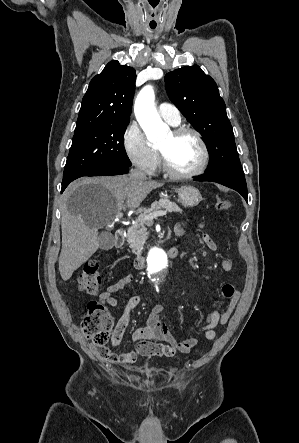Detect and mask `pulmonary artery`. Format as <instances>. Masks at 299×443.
<instances>
[{"label": "pulmonary artery", "instance_id": "e3ab8cb5", "mask_svg": "<svg viewBox=\"0 0 299 443\" xmlns=\"http://www.w3.org/2000/svg\"><path fill=\"white\" fill-rule=\"evenodd\" d=\"M160 116L171 125H178L181 122L180 112L176 106L169 103H161L158 106Z\"/></svg>", "mask_w": 299, "mask_h": 443}]
</instances>
